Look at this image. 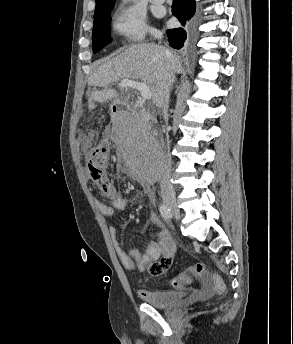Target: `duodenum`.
<instances>
[{"instance_id": "obj_1", "label": "duodenum", "mask_w": 293, "mask_h": 344, "mask_svg": "<svg viewBox=\"0 0 293 344\" xmlns=\"http://www.w3.org/2000/svg\"><path fill=\"white\" fill-rule=\"evenodd\" d=\"M124 111L123 107H119L117 108L114 112H113V116L116 117L117 115H119L120 113H122ZM139 118L149 122L150 121V115L145 113V112H141L138 114ZM131 120H134V118H131Z\"/></svg>"}]
</instances>
